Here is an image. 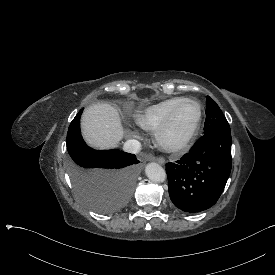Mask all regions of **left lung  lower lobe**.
<instances>
[{
    "instance_id": "obj_1",
    "label": "left lung lower lobe",
    "mask_w": 275,
    "mask_h": 275,
    "mask_svg": "<svg viewBox=\"0 0 275 275\" xmlns=\"http://www.w3.org/2000/svg\"><path fill=\"white\" fill-rule=\"evenodd\" d=\"M230 171V130L201 137L180 160L166 164L172 203L189 213L210 208L221 196Z\"/></svg>"
}]
</instances>
